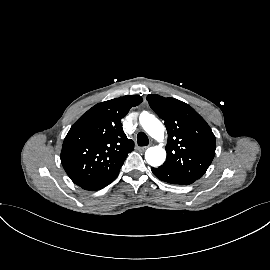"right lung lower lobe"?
I'll list each match as a JSON object with an SVG mask.
<instances>
[{
	"label": "right lung lower lobe",
	"mask_w": 270,
	"mask_h": 270,
	"mask_svg": "<svg viewBox=\"0 0 270 270\" xmlns=\"http://www.w3.org/2000/svg\"><path fill=\"white\" fill-rule=\"evenodd\" d=\"M118 173L103 178L101 180H97L94 182H90V183H86L84 185H81L80 187L85 189V190H89V191H95V190H99L104 188L105 186H107L108 184H110L116 177H117Z\"/></svg>",
	"instance_id": "obj_1"
}]
</instances>
